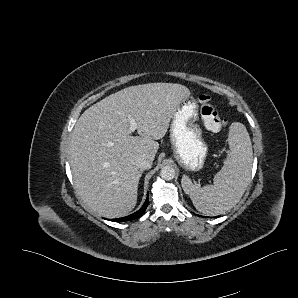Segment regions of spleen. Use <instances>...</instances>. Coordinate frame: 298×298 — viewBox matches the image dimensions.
Returning <instances> with one entry per match:
<instances>
[{
    "instance_id": "obj_1",
    "label": "spleen",
    "mask_w": 298,
    "mask_h": 298,
    "mask_svg": "<svg viewBox=\"0 0 298 298\" xmlns=\"http://www.w3.org/2000/svg\"><path fill=\"white\" fill-rule=\"evenodd\" d=\"M227 141V158L214 176L213 185H195L185 175L181 180L183 190L190 196L196 210L206 215L224 214L233 208L250 181L253 150L245 125L233 122L229 127Z\"/></svg>"
}]
</instances>
